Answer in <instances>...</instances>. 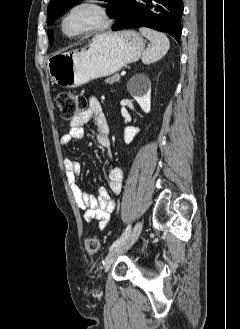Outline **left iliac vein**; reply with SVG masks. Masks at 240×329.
I'll use <instances>...</instances> for the list:
<instances>
[{
    "instance_id": "1",
    "label": "left iliac vein",
    "mask_w": 240,
    "mask_h": 329,
    "mask_svg": "<svg viewBox=\"0 0 240 329\" xmlns=\"http://www.w3.org/2000/svg\"><path fill=\"white\" fill-rule=\"evenodd\" d=\"M142 222H137L130 235L116 248L111 250L105 258V268L108 269L115 260L124 252H126L138 239L141 234Z\"/></svg>"
}]
</instances>
